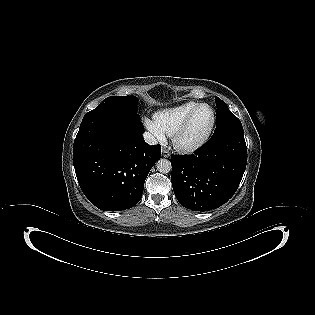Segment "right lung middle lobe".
<instances>
[{"instance_id":"1","label":"right lung middle lobe","mask_w":315,"mask_h":315,"mask_svg":"<svg viewBox=\"0 0 315 315\" xmlns=\"http://www.w3.org/2000/svg\"><path fill=\"white\" fill-rule=\"evenodd\" d=\"M97 108H115L127 113L137 112V98L135 96H110L100 103Z\"/></svg>"}]
</instances>
